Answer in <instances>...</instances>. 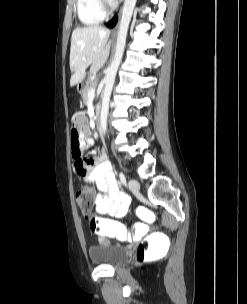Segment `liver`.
<instances>
[{"mask_svg":"<svg viewBox=\"0 0 247 304\" xmlns=\"http://www.w3.org/2000/svg\"><path fill=\"white\" fill-rule=\"evenodd\" d=\"M109 36L110 31L101 26L74 29L70 48L71 87L85 78L89 66L91 74H95L103 67L109 56Z\"/></svg>","mask_w":247,"mask_h":304,"instance_id":"1","label":"liver"}]
</instances>
